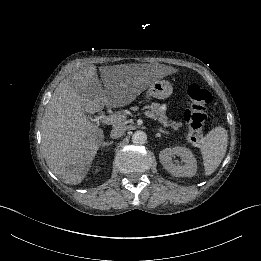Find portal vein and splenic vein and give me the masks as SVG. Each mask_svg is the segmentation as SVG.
<instances>
[{
	"mask_svg": "<svg viewBox=\"0 0 261 261\" xmlns=\"http://www.w3.org/2000/svg\"><path fill=\"white\" fill-rule=\"evenodd\" d=\"M141 114L147 116L149 119L154 118V115L152 113H150L149 111H147V110H142ZM123 118H124V116L116 117L114 115H111V116H104V115H102V116L96 117L95 119H93V121H95V122H99L100 121V122H102L104 124L110 125V124H115V123H121Z\"/></svg>",
	"mask_w": 261,
	"mask_h": 261,
	"instance_id": "obj_1",
	"label": "portal vein and splenic vein"
}]
</instances>
